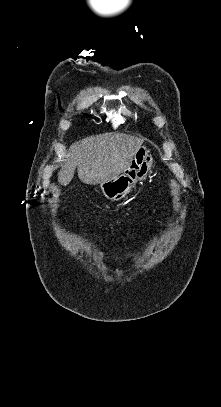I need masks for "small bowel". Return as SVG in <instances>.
Listing matches in <instances>:
<instances>
[{
  "mask_svg": "<svg viewBox=\"0 0 221 407\" xmlns=\"http://www.w3.org/2000/svg\"><path fill=\"white\" fill-rule=\"evenodd\" d=\"M102 255H103V250L102 249H98L97 251H96V256H97V258H102Z\"/></svg>",
  "mask_w": 221,
  "mask_h": 407,
  "instance_id": "obj_1",
  "label": "small bowel"
}]
</instances>
